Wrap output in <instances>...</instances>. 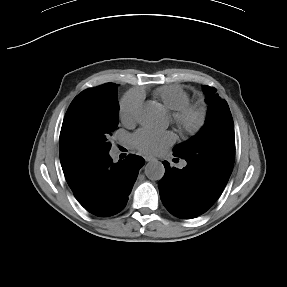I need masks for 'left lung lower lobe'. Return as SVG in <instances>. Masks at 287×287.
Segmentation results:
<instances>
[{"label": "left lung lower lobe", "instance_id": "left-lung-lower-lobe-1", "mask_svg": "<svg viewBox=\"0 0 287 287\" xmlns=\"http://www.w3.org/2000/svg\"><path fill=\"white\" fill-rule=\"evenodd\" d=\"M165 174L158 187L167 210L182 219H192L206 212L225 187L211 183L210 175L189 163L179 170L163 161Z\"/></svg>", "mask_w": 287, "mask_h": 287}]
</instances>
